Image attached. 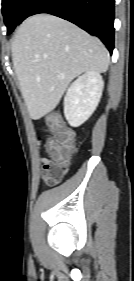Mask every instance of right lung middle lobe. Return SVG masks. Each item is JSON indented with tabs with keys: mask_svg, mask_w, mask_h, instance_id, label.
I'll return each mask as SVG.
<instances>
[{
	"mask_svg": "<svg viewBox=\"0 0 134 281\" xmlns=\"http://www.w3.org/2000/svg\"><path fill=\"white\" fill-rule=\"evenodd\" d=\"M31 0H2V13L10 34L22 22L24 10Z\"/></svg>",
	"mask_w": 134,
	"mask_h": 281,
	"instance_id": "1",
	"label": "right lung middle lobe"
}]
</instances>
